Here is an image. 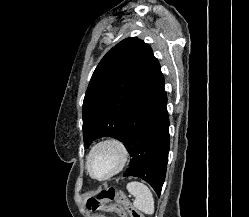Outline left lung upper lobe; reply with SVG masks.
I'll list each match as a JSON object with an SVG mask.
<instances>
[{
	"label": "left lung upper lobe",
	"instance_id": "5c2ea615",
	"mask_svg": "<svg viewBox=\"0 0 249 217\" xmlns=\"http://www.w3.org/2000/svg\"><path fill=\"white\" fill-rule=\"evenodd\" d=\"M161 75L159 62L144 41L130 37L114 46L97 65L85 94V146L101 136L120 140L129 112Z\"/></svg>",
	"mask_w": 249,
	"mask_h": 217
}]
</instances>
